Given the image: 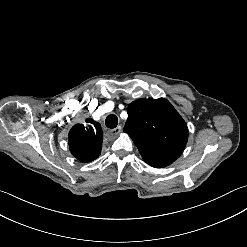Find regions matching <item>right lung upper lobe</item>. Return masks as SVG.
Returning <instances> with one entry per match:
<instances>
[{
	"label": "right lung upper lobe",
	"instance_id": "right-lung-upper-lobe-1",
	"mask_svg": "<svg viewBox=\"0 0 247 247\" xmlns=\"http://www.w3.org/2000/svg\"><path fill=\"white\" fill-rule=\"evenodd\" d=\"M88 125L85 128L82 124L73 126L69 132V148L73 156L82 162H91L98 158L102 149V130L99 123L88 118Z\"/></svg>",
	"mask_w": 247,
	"mask_h": 247
}]
</instances>
